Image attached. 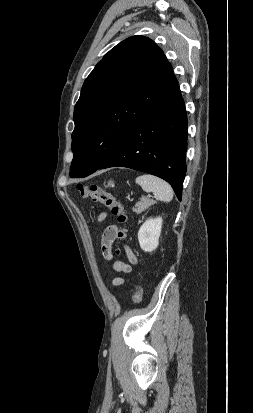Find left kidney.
<instances>
[{
	"label": "left kidney",
	"instance_id": "5707ae66",
	"mask_svg": "<svg viewBox=\"0 0 253 413\" xmlns=\"http://www.w3.org/2000/svg\"><path fill=\"white\" fill-rule=\"evenodd\" d=\"M161 228V217L150 218L142 224L138 232V240L143 251L151 252L158 247Z\"/></svg>",
	"mask_w": 253,
	"mask_h": 413
}]
</instances>
